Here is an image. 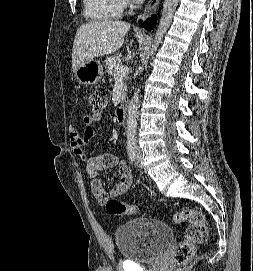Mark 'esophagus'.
Returning a JSON list of instances; mask_svg holds the SVG:
<instances>
[{"label": "esophagus", "mask_w": 253, "mask_h": 271, "mask_svg": "<svg viewBox=\"0 0 253 271\" xmlns=\"http://www.w3.org/2000/svg\"><path fill=\"white\" fill-rule=\"evenodd\" d=\"M160 2L161 0H149V2L147 3L143 10V17H150L154 13H156V11L159 8Z\"/></svg>", "instance_id": "obj_1"}]
</instances>
